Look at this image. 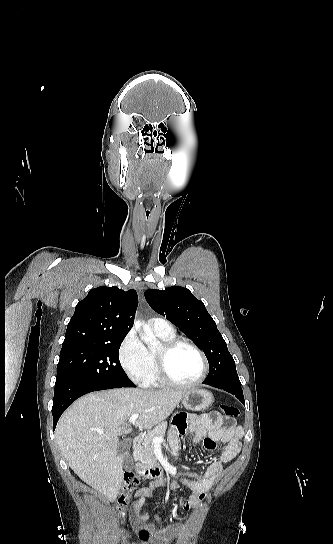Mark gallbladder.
<instances>
[{"instance_id":"1","label":"gallbladder","mask_w":333,"mask_h":544,"mask_svg":"<svg viewBox=\"0 0 333 544\" xmlns=\"http://www.w3.org/2000/svg\"><path fill=\"white\" fill-rule=\"evenodd\" d=\"M130 442L127 440H122L119 442L117 447V453L123 458L124 465L127 469L133 470L134 461L131 455L129 454Z\"/></svg>"}]
</instances>
